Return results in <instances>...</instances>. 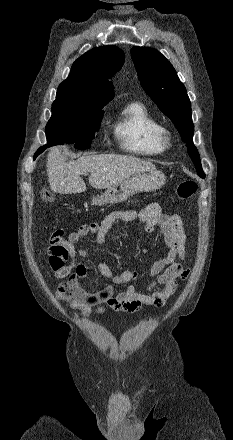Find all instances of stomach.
<instances>
[{
	"label": "stomach",
	"mask_w": 233,
	"mask_h": 440,
	"mask_svg": "<svg viewBox=\"0 0 233 440\" xmlns=\"http://www.w3.org/2000/svg\"><path fill=\"white\" fill-rule=\"evenodd\" d=\"M165 181L166 177L161 171L141 172L107 188L100 196L93 197L91 203L97 206L120 203L135 193L158 190L165 184Z\"/></svg>",
	"instance_id": "stomach-1"
}]
</instances>
